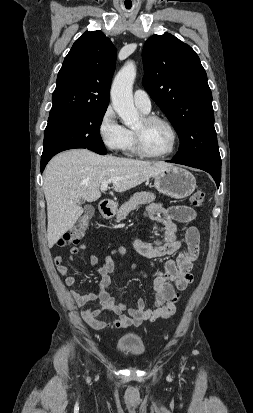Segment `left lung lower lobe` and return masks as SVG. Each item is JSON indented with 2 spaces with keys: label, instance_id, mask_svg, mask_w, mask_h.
<instances>
[{
  "label": "left lung lower lobe",
  "instance_id": "left-lung-lower-lobe-1",
  "mask_svg": "<svg viewBox=\"0 0 253 413\" xmlns=\"http://www.w3.org/2000/svg\"><path fill=\"white\" fill-rule=\"evenodd\" d=\"M172 163L187 165L190 167L198 168L208 172L215 180L217 187L220 185L221 181V162L209 161V160H199V161H180L172 159Z\"/></svg>",
  "mask_w": 253,
  "mask_h": 413
}]
</instances>
